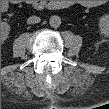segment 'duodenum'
Returning <instances> with one entry per match:
<instances>
[{"label": "duodenum", "mask_w": 109, "mask_h": 109, "mask_svg": "<svg viewBox=\"0 0 109 109\" xmlns=\"http://www.w3.org/2000/svg\"><path fill=\"white\" fill-rule=\"evenodd\" d=\"M13 2H16V1H13ZM28 4L38 10H43L50 5L49 3L44 1H29Z\"/></svg>", "instance_id": "obj_1"}]
</instances>
